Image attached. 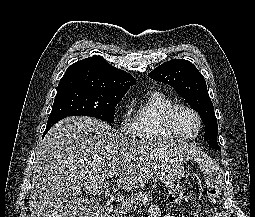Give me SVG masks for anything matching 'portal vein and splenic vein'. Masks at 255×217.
Listing matches in <instances>:
<instances>
[{"label": "portal vein and splenic vein", "instance_id": "portal-vein-and-splenic-vein-1", "mask_svg": "<svg viewBox=\"0 0 255 217\" xmlns=\"http://www.w3.org/2000/svg\"><path fill=\"white\" fill-rule=\"evenodd\" d=\"M113 176H118V173H117V172H111V173L109 174V177H113Z\"/></svg>", "mask_w": 255, "mask_h": 217}]
</instances>
